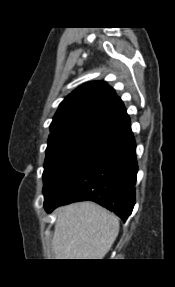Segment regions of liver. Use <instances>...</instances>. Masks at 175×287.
<instances>
[{"label": "liver", "instance_id": "liver-1", "mask_svg": "<svg viewBox=\"0 0 175 287\" xmlns=\"http://www.w3.org/2000/svg\"><path fill=\"white\" fill-rule=\"evenodd\" d=\"M52 239L55 259H103L119 232V219L93 202L56 210Z\"/></svg>", "mask_w": 175, "mask_h": 287}]
</instances>
